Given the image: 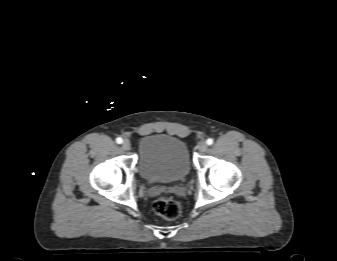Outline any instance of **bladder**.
<instances>
[{
  "label": "bladder",
  "instance_id": "1",
  "mask_svg": "<svg viewBox=\"0 0 337 261\" xmlns=\"http://www.w3.org/2000/svg\"><path fill=\"white\" fill-rule=\"evenodd\" d=\"M138 167L141 176L148 182L182 181L190 172L187 146L174 136L146 135L139 142Z\"/></svg>",
  "mask_w": 337,
  "mask_h": 261
}]
</instances>
